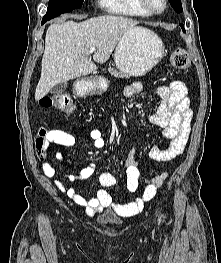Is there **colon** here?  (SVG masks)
Returning a JSON list of instances; mask_svg holds the SVG:
<instances>
[{
	"label": "colon",
	"mask_w": 221,
	"mask_h": 263,
	"mask_svg": "<svg viewBox=\"0 0 221 263\" xmlns=\"http://www.w3.org/2000/svg\"><path fill=\"white\" fill-rule=\"evenodd\" d=\"M171 63L177 69L185 70L190 66V60L187 52L183 49H176L171 53ZM39 104L46 108H56L59 111L72 115L75 113L76 107L70 96L66 94H56L52 96H43L39 100ZM44 130L40 131L39 137L36 140V148L40 157H45L47 154V145L43 137Z\"/></svg>",
	"instance_id": "1"
}]
</instances>
